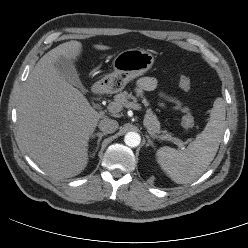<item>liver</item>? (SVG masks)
Listing matches in <instances>:
<instances>
[{
    "label": "liver",
    "mask_w": 248,
    "mask_h": 248,
    "mask_svg": "<svg viewBox=\"0 0 248 248\" xmlns=\"http://www.w3.org/2000/svg\"><path fill=\"white\" fill-rule=\"evenodd\" d=\"M97 50L110 47L94 45ZM82 43L71 40L47 52L29 74L17 106L18 137L29 157L48 175L80 174L88 163V141L102 114L58 72L59 57L76 60Z\"/></svg>",
    "instance_id": "1"
}]
</instances>
